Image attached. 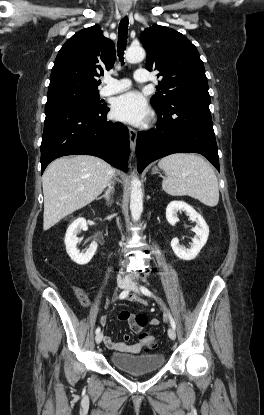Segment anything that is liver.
<instances>
[{
    "instance_id": "liver-1",
    "label": "liver",
    "mask_w": 264,
    "mask_h": 415,
    "mask_svg": "<svg viewBox=\"0 0 264 415\" xmlns=\"http://www.w3.org/2000/svg\"><path fill=\"white\" fill-rule=\"evenodd\" d=\"M111 167L102 159L76 155L56 159L43 176V229L94 201L107 186Z\"/></svg>"
}]
</instances>
